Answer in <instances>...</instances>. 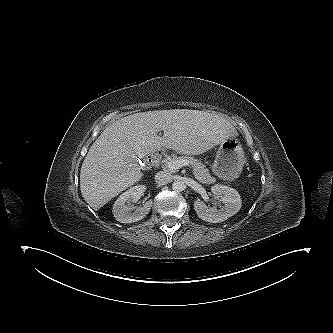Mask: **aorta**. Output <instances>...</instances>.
Listing matches in <instances>:
<instances>
[{
    "instance_id": "obj_1",
    "label": "aorta",
    "mask_w": 333,
    "mask_h": 333,
    "mask_svg": "<svg viewBox=\"0 0 333 333\" xmlns=\"http://www.w3.org/2000/svg\"><path fill=\"white\" fill-rule=\"evenodd\" d=\"M172 189L177 192H181L185 189V184L182 181L176 180L172 184Z\"/></svg>"
}]
</instances>
